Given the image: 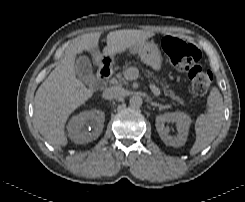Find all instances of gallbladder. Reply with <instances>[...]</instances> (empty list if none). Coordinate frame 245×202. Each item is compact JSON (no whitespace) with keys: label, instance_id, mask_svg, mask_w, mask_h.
I'll list each match as a JSON object with an SVG mask.
<instances>
[{"label":"gallbladder","instance_id":"obj_1","mask_svg":"<svg viewBox=\"0 0 245 202\" xmlns=\"http://www.w3.org/2000/svg\"><path fill=\"white\" fill-rule=\"evenodd\" d=\"M75 73L85 83L93 80V67L87 56H79L77 58L75 62Z\"/></svg>","mask_w":245,"mask_h":202}]
</instances>
